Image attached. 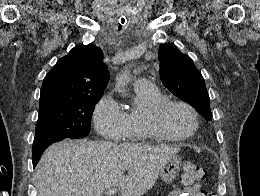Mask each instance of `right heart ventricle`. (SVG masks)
<instances>
[{
  "instance_id": "e07e8e85",
  "label": "right heart ventricle",
  "mask_w": 260,
  "mask_h": 196,
  "mask_svg": "<svg viewBox=\"0 0 260 196\" xmlns=\"http://www.w3.org/2000/svg\"><path fill=\"white\" fill-rule=\"evenodd\" d=\"M132 92L138 106L126 112L127 129L137 130L138 134L124 139L123 143H141L159 139L145 128L142 118L154 104L167 99L165 94L154 85L137 83L132 85Z\"/></svg>"
}]
</instances>
